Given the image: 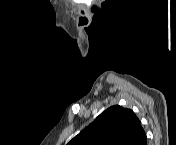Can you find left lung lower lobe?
I'll use <instances>...</instances> for the list:
<instances>
[{
	"instance_id": "1",
	"label": "left lung lower lobe",
	"mask_w": 176,
	"mask_h": 145,
	"mask_svg": "<svg viewBox=\"0 0 176 145\" xmlns=\"http://www.w3.org/2000/svg\"><path fill=\"white\" fill-rule=\"evenodd\" d=\"M142 145H147V139L144 140Z\"/></svg>"
}]
</instances>
